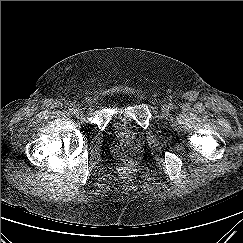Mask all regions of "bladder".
Listing matches in <instances>:
<instances>
[{
    "instance_id": "obj_1",
    "label": "bladder",
    "mask_w": 243,
    "mask_h": 243,
    "mask_svg": "<svg viewBox=\"0 0 243 243\" xmlns=\"http://www.w3.org/2000/svg\"><path fill=\"white\" fill-rule=\"evenodd\" d=\"M110 125L113 132L123 141L132 142L138 137L136 127L126 119V105L124 104L116 105Z\"/></svg>"
}]
</instances>
